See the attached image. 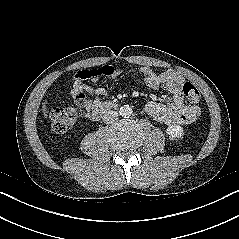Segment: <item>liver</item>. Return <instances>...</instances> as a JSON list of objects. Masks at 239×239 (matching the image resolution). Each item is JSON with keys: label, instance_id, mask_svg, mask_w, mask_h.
Instances as JSON below:
<instances>
[{"label": "liver", "instance_id": "obj_1", "mask_svg": "<svg viewBox=\"0 0 239 239\" xmlns=\"http://www.w3.org/2000/svg\"><path fill=\"white\" fill-rule=\"evenodd\" d=\"M42 112L44 113V116L46 117L47 115H46V106H45V104H43Z\"/></svg>", "mask_w": 239, "mask_h": 239}]
</instances>
